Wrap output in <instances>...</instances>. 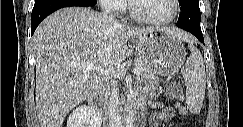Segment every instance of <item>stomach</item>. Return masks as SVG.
Returning <instances> with one entry per match:
<instances>
[{
  "label": "stomach",
  "instance_id": "stomach-1",
  "mask_svg": "<svg viewBox=\"0 0 243 127\" xmlns=\"http://www.w3.org/2000/svg\"><path fill=\"white\" fill-rule=\"evenodd\" d=\"M133 43L139 57L157 75L177 72L186 60L181 40L167 31H152L134 39Z\"/></svg>",
  "mask_w": 243,
  "mask_h": 127
}]
</instances>
